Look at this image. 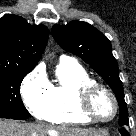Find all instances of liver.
I'll return each mask as SVG.
<instances>
[{
	"label": "liver",
	"instance_id": "liver-1",
	"mask_svg": "<svg viewBox=\"0 0 136 136\" xmlns=\"http://www.w3.org/2000/svg\"><path fill=\"white\" fill-rule=\"evenodd\" d=\"M0 136H107V133L95 129L51 127L46 124L18 123L0 119Z\"/></svg>",
	"mask_w": 136,
	"mask_h": 136
}]
</instances>
